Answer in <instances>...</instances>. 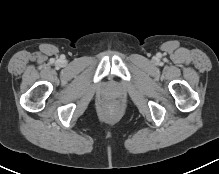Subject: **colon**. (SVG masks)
<instances>
[{
  "label": "colon",
  "instance_id": "1",
  "mask_svg": "<svg viewBox=\"0 0 219 174\" xmlns=\"http://www.w3.org/2000/svg\"><path fill=\"white\" fill-rule=\"evenodd\" d=\"M117 110V105L115 103H109L104 107V113L106 115H113Z\"/></svg>",
  "mask_w": 219,
  "mask_h": 174
}]
</instances>
